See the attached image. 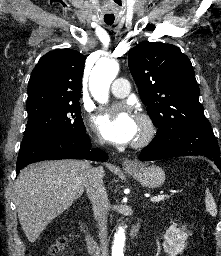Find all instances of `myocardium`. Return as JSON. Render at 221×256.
<instances>
[{
	"mask_svg": "<svg viewBox=\"0 0 221 256\" xmlns=\"http://www.w3.org/2000/svg\"><path fill=\"white\" fill-rule=\"evenodd\" d=\"M138 121L142 125V132L133 142V146L136 148L145 147L151 143L158 130L153 118L146 113L138 114Z\"/></svg>",
	"mask_w": 221,
	"mask_h": 256,
	"instance_id": "myocardium-1",
	"label": "myocardium"
}]
</instances>
